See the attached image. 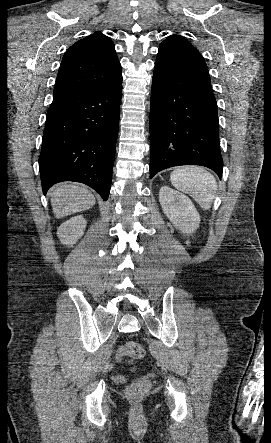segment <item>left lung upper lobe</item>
Here are the masks:
<instances>
[{
	"instance_id": "left-lung-upper-lobe-1",
	"label": "left lung upper lobe",
	"mask_w": 271,
	"mask_h": 443,
	"mask_svg": "<svg viewBox=\"0 0 271 443\" xmlns=\"http://www.w3.org/2000/svg\"><path fill=\"white\" fill-rule=\"evenodd\" d=\"M168 46H177L185 48L187 50L198 52L197 49L191 43H189L186 39L178 35H171L167 37V39L163 41L160 45V47H168Z\"/></svg>"
}]
</instances>
